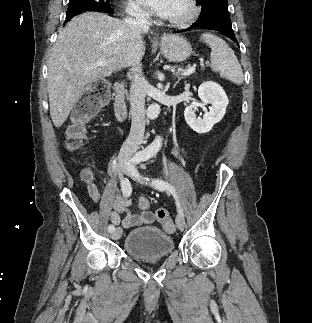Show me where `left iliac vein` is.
Masks as SVG:
<instances>
[{
    "instance_id": "obj_1",
    "label": "left iliac vein",
    "mask_w": 312,
    "mask_h": 323,
    "mask_svg": "<svg viewBox=\"0 0 312 323\" xmlns=\"http://www.w3.org/2000/svg\"><path fill=\"white\" fill-rule=\"evenodd\" d=\"M131 176H132V178L134 180L140 181L141 183H145L143 181V179L138 174L131 173ZM176 225L180 230H183L184 227H185V220H184V217H183V215L181 213L178 214L177 217H176Z\"/></svg>"
}]
</instances>
